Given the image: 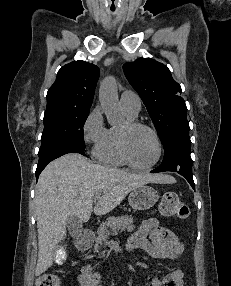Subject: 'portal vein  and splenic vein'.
Segmentation results:
<instances>
[{
  "mask_svg": "<svg viewBox=\"0 0 231 286\" xmlns=\"http://www.w3.org/2000/svg\"><path fill=\"white\" fill-rule=\"evenodd\" d=\"M99 199V196H95L94 197V201L98 200Z\"/></svg>",
  "mask_w": 231,
  "mask_h": 286,
  "instance_id": "obj_1",
  "label": "portal vein and splenic vein"
}]
</instances>
